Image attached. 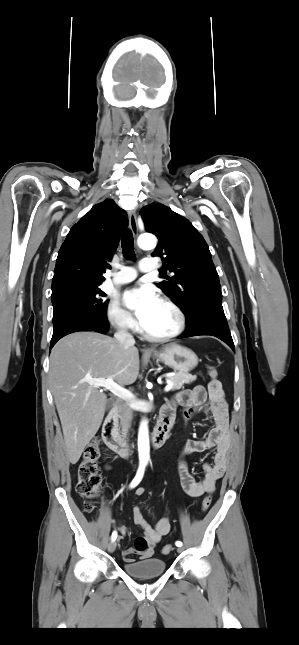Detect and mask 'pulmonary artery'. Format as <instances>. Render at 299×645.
<instances>
[{
    "label": "pulmonary artery",
    "instance_id": "pulmonary-artery-1",
    "mask_svg": "<svg viewBox=\"0 0 299 645\" xmlns=\"http://www.w3.org/2000/svg\"><path fill=\"white\" fill-rule=\"evenodd\" d=\"M158 269L157 263L151 258H144L140 261L139 270L141 272H154ZM137 277V270L133 267H121L113 277V282L116 284H126L133 281Z\"/></svg>",
    "mask_w": 299,
    "mask_h": 645
}]
</instances>
